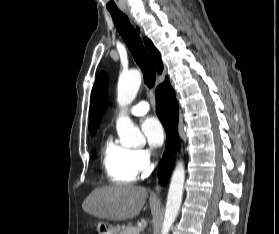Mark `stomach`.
<instances>
[{"mask_svg": "<svg viewBox=\"0 0 279 234\" xmlns=\"http://www.w3.org/2000/svg\"><path fill=\"white\" fill-rule=\"evenodd\" d=\"M97 230L99 234H119L120 231L118 228L106 223V222H99L97 225Z\"/></svg>", "mask_w": 279, "mask_h": 234, "instance_id": "0dacf381", "label": "stomach"}]
</instances>
